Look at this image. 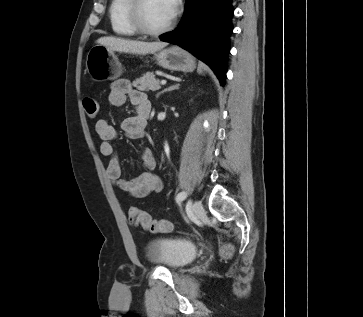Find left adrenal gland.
I'll return each mask as SVG.
<instances>
[{"label":"left adrenal gland","mask_w":363,"mask_h":317,"mask_svg":"<svg viewBox=\"0 0 363 317\" xmlns=\"http://www.w3.org/2000/svg\"><path fill=\"white\" fill-rule=\"evenodd\" d=\"M179 83H177V84H175V85H172V86H170L169 88H166V89H164V90H162V91H160L159 93H157V95H156V98H158L161 94H163L164 92H167V91H172V90H174V89H178L179 88Z\"/></svg>","instance_id":"1"}]
</instances>
